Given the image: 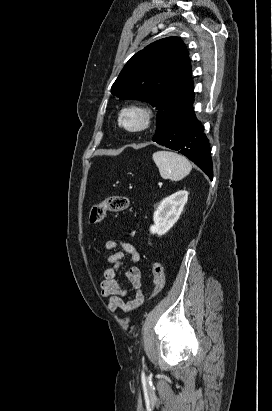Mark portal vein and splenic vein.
I'll return each instance as SVG.
<instances>
[{
	"mask_svg": "<svg viewBox=\"0 0 272 411\" xmlns=\"http://www.w3.org/2000/svg\"><path fill=\"white\" fill-rule=\"evenodd\" d=\"M158 185H159V186H161V185H162V183H161V182H159V183H158Z\"/></svg>",
	"mask_w": 272,
	"mask_h": 411,
	"instance_id": "obj_1",
	"label": "portal vein and splenic vein"
}]
</instances>
